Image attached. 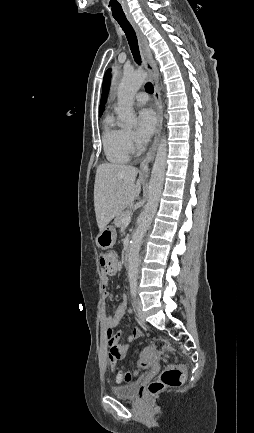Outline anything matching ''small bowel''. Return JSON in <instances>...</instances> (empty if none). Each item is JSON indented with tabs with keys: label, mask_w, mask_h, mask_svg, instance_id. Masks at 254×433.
<instances>
[{
	"label": "small bowel",
	"mask_w": 254,
	"mask_h": 433,
	"mask_svg": "<svg viewBox=\"0 0 254 433\" xmlns=\"http://www.w3.org/2000/svg\"><path fill=\"white\" fill-rule=\"evenodd\" d=\"M107 284V279L104 281V285ZM108 291H104V295L108 296ZM127 310V298L123 296L121 298L120 303L118 304L116 310L112 315H103L101 322L102 326L105 329V335L107 339L108 345V360L112 370H116L119 367H124L122 360L125 358L128 351V343L132 342L136 338H138L141 334L139 329H134L127 337L126 342H122L120 340L121 332H114V328L120 323L122 318L124 317ZM148 351H150L153 355H155V348L148 347ZM117 381H122L120 379V374L116 376Z\"/></svg>",
	"instance_id": "c3829d8e"
}]
</instances>
